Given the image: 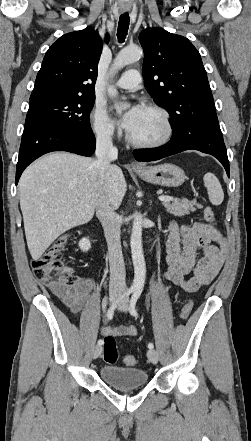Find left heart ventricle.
Listing matches in <instances>:
<instances>
[{"instance_id":"b2bd125f","label":"left heart ventricle","mask_w":251,"mask_h":441,"mask_svg":"<svg viewBox=\"0 0 251 441\" xmlns=\"http://www.w3.org/2000/svg\"><path fill=\"white\" fill-rule=\"evenodd\" d=\"M165 132L164 122L159 113L143 108L135 126L129 131L139 141L159 139Z\"/></svg>"}]
</instances>
